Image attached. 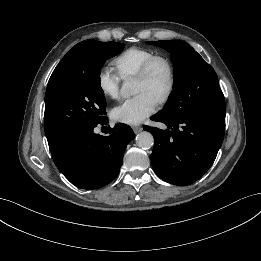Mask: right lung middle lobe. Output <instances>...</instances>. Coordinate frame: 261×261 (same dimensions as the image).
<instances>
[{
    "label": "right lung middle lobe",
    "instance_id": "obj_1",
    "mask_svg": "<svg viewBox=\"0 0 261 261\" xmlns=\"http://www.w3.org/2000/svg\"><path fill=\"white\" fill-rule=\"evenodd\" d=\"M123 43L85 40L56 68L45 94L44 129L49 147L67 135L105 120L106 102L100 86L104 62L117 55Z\"/></svg>",
    "mask_w": 261,
    "mask_h": 261
}]
</instances>
